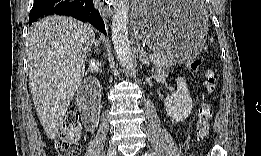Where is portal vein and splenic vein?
I'll return each mask as SVG.
<instances>
[{
    "mask_svg": "<svg viewBox=\"0 0 261 156\" xmlns=\"http://www.w3.org/2000/svg\"><path fill=\"white\" fill-rule=\"evenodd\" d=\"M149 58H150L151 61H153V60H155L157 58V55L156 54H151L149 56Z\"/></svg>",
    "mask_w": 261,
    "mask_h": 156,
    "instance_id": "obj_1",
    "label": "portal vein and splenic vein"
}]
</instances>
